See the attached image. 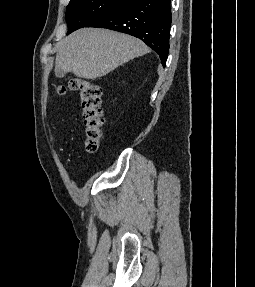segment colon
I'll return each instance as SVG.
<instances>
[{"mask_svg": "<svg viewBox=\"0 0 255 287\" xmlns=\"http://www.w3.org/2000/svg\"><path fill=\"white\" fill-rule=\"evenodd\" d=\"M68 90L79 93L85 147L89 153H95L102 140V127L105 122L102 89L91 81L73 77L65 85L59 86L57 91L59 95H64Z\"/></svg>", "mask_w": 255, "mask_h": 287, "instance_id": "1", "label": "colon"}]
</instances>
